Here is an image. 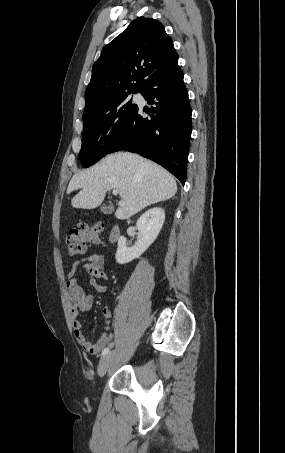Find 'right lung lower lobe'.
<instances>
[{"label":"right lung lower lobe","instance_id":"1","mask_svg":"<svg viewBox=\"0 0 285 453\" xmlns=\"http://www.w3.org/2000/svg\"><path fill=\"white\" fill-rule=\"evenodd\" d=\"M149 104L150 118L138 109L110 153L128 150L171 172L184 185L191 136V108L183 73L175 65L154 76L140 92Z\"/></svg>","mask_w":285,"mask_h":453}]
</instances>
